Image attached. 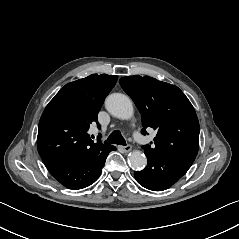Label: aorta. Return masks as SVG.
Masks as SVG:
<instances>
[{
  "label": "aorta",
  "mask_w": 239,
  "mask_h": 239,
  "mask_svg": "<svg viewBox=\"0 0 239 239\" xmlns=\"http://www.w3.org/2000/svg\"><path fill=\"white\" fill-rule=\"evenodd\" d=\"M107 110L116 118L129 121L134 117V105L130 97L120 93H114L106 99ZM131 167L141 168L147 164V158L139 150L133 151L128 155Z\"/></svg>",
  "instance_id": "aorta-1"
}]
</instances>
